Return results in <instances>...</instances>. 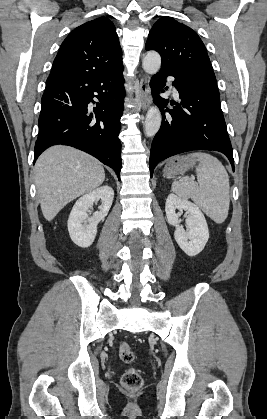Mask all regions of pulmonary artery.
I'll return each mask as SVG.
<instances>
[{
    "instance_id": "e3ab8cb5",
    "label": "pulmonary artery",
    "mask_w": 267,
    "mask_h": 419,
    "mask_svg": "<svg viewBox=\"0 0 267 419\" xmlns=\"http://www.w3.org/2000/svg\"><path fill=\"white\" fill-rule=\"evenodd\" d=\"M172 87H173L174 93L177 94V90L175 89V87L174 86Z\"/></svg>"
}]
</instances>
